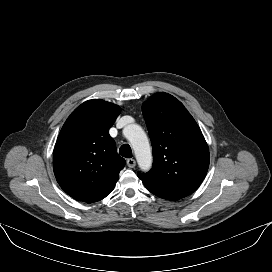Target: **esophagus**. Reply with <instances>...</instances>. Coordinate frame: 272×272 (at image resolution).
<instances>
[{
	"label": "esophagus",
	"instance_id": "obj_1",
	"mask_svg": "<svg viewBox=\"0 0 272 272\" xmlns=\"http://www.w3.org/2000/svg\"><path fill=\"white\" fill-rule=\"evenodd\" d=\"M127 165H128L129 168H134L135 165H136L135 159H133V158L127 159Z\"/></svg>",
	"mask_w": 272,
	"mask_h": 272
}]
</instances>
